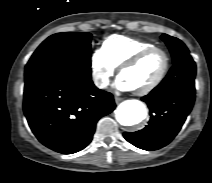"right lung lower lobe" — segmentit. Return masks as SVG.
<instances>
[{
  "label": "right lung lower lobe",
  "mask_w": 212,
  "mask_h": 183,
  "mask_svg": "<svg viewBox=\"0 0 212 183\" xmlns=\"http://www.w3.org/2000/svg\"><path fill=\"white\" fill-rule=\"evenodd\" d=\"M116 105L91 80V68L75 64H34L25 68L23 109L37 139L63 154L84 149L97 121Z\"/></svg>",
  "instance_id": "obj_1"
}]
</instances>
